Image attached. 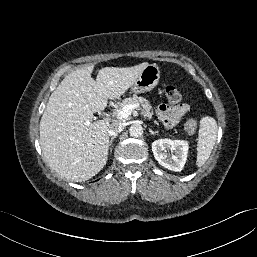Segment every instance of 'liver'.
<instances>
[{
    "label": "liver",
    "instance_id": "liver-1",
    "mask_svg": "<svg viewBox=\"0 0 257 257\" xmlns=\"http://www.w3.org/2000/svg\"><path fill=\"white\" fill-rule=\"evenodd\" d=\"M148 65L105 67L96 80L94 65L68 74L51 94L40 121V145L50 167L74 182L95 176L107 162L109 122H92L93 113L117 99Z\"/></svg>",
    "mask_w": 257,
    "mask_h": 257
}]
</instances>
